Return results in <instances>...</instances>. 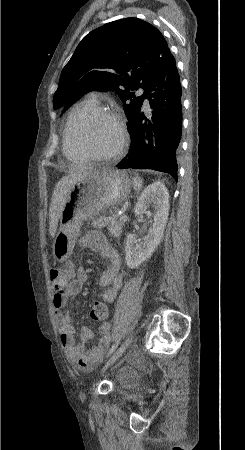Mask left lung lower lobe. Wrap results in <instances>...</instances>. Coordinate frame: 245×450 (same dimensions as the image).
Wrapping results in <instances>:
<instances>
[{"instance_id":"0a47b994","label":"left lung lower lobe","mask_w":245,"mask_h":450,"mask_svg":"<svg viewBox=\"0 0 245 450\" xmlns=\"http://www.w3.org/2000/svg\"><path fill=\"white\" fill-rule=\"evenodd\" d=\"M149 116L138 112L128 127L129 154L119 169H153L177 180V152L182 132L181 84L173 55L147 87ZM144 100V99H143Z\"/></svg>"}]
</instances>
